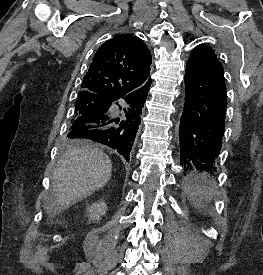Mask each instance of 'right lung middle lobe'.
<instances>
[{"label":"right lung middle lobe","mask_w":263,"mask_h":275,"mask_svg":"<svg viewBox=\"0 0 263 275\" xmlns=\"http://www.w3.org/2000/svg\"><path fill=\"white\" fill-rule=\"evenodd\" d=\"M107 108L108 101L99 96L94 94L80 95L75 103L74 118L85 113L105 111ZM78 144L77 141L70 138L64 141L65 146H75Z\"/></svg>","instance_id":"dd1d6c3e"}]
</instances>
